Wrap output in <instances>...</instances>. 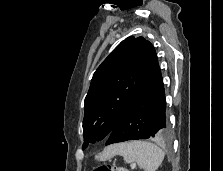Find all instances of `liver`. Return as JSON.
Instances as JSON below:
<instances>
[{"mask_svg": "<svg viewBox=\"0 0 223 171\" xmlns=\"http://www.w3.org/2000/svg\"><path fill=\"white\" fill-rule=\"evenodd\" d=\"M119 147H120V144L107 147L101 155L96 156V159L105 161V160L115 156V154H117L119 151Z\"/></svg>", "mask_w": 223, "mask_h": 171, "instance_id": "liver-1", "label": "liver"}]
</instances>
